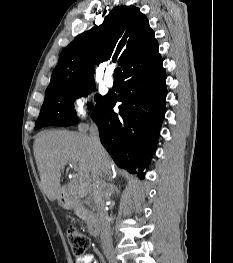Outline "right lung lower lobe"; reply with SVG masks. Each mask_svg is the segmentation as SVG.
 <instances>
[{
  "mask_svg": "<svg viewBox=\"0 0 233 263\" xmlns=\"http://www.w3.org/2000/svg\"><path fill=\"white\" fill-rule=\"evenodd\" d=\"M124 79L119 97L106 96L92 118L102 145L115 163L143 179L164 119L166 74L161 61L151 69L129 73ZM117 101L123 102L119 113L113 111Z\"/></svg>",
  "mask_w": 233,
  "mask_h": 263,
  "instance_id": "right-lung-lower-lobe-1",
  "label": "right lung lower lobe"
}]
</instances>
